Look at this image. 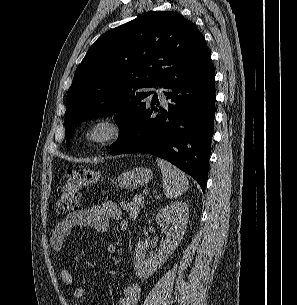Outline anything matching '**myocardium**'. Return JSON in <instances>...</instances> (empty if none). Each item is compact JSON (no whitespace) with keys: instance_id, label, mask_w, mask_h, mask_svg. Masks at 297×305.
I'll return each mask as SVG.
<instances>
[{"instance_id":"myocardium-1","label":"myocardium","mask_w":297,"mask_h":305,"mask_svg":"<svg viewBox=\"0 0 297 305\" xmlns=\"http://www.w3.org/2000/svg\"><path fill=\"white\" fill-rule=\"evenodd\" d=\"M123 133L122 122L112 115L95 117L87 121L82 128V138L91 146L112 144L119 140Z\"/></svg>"}]
</instances>
